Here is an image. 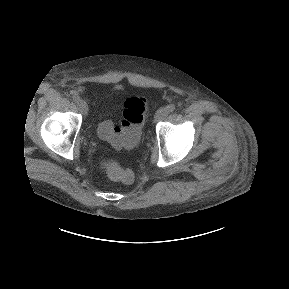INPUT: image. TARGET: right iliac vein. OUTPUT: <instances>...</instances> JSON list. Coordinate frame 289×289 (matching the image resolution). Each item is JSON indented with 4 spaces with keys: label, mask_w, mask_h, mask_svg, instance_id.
I'll use <instances>...</instances> for the list:
<instances>
[{
    "label": "right iliac vein",
    "mask_w": 289,
    "mask_h": 289,
    "mask_svg": "<svg viewBox=\"0 0 289 289\" xmlns=\"http://www.w3.org/2000/svg\"><path fill=\"white\" fill-rule=\"evenodd\" d=\"M78 108L80 109V111L84 114L87 115L88 113V105L84 100H80L78 103Z\"/></svg>",
    "instance_id": "63e3f726"
}]
</instances>
